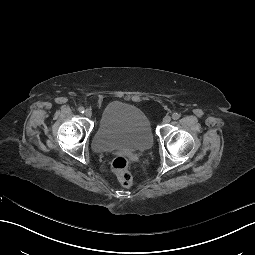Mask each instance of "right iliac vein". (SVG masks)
Listing matches in <instances>:
<instances>
[{"label": "right iliac vein", "instance_id": "obj_1", "mask_svg": "<svg viewBox=\"0 0 255 255\" xmlns=\"http://www.w3.org/2000/svg\"><path fill=\"white\" fill-rule=\"evenodd\" d=\"M84 114H85L86 117H91V115H92L91 109H86Z\"/></svg>", "mask_w": 255, "mask_h": 255}]
</instances>
